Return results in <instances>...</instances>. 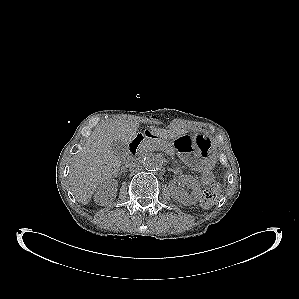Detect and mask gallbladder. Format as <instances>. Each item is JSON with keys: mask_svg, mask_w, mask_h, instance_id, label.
Masks as SVG:
<instances>
[{"mask_svg": "<svg viewBox=\"0 0 299 299\" xmlns=\"http://www.w3.org/2000/svg\"><path fill=\"white\" fill-rule=\"evenodd\" d=\"M112 151L119 158L127 156V154H128L127 145L124 144L121 141H114L113 142V144H112Z\"/></svg>", "mask_w": 299, "mask_h": 299, "instance_id": "gallbladder-1", "label": "gallbladder"}]
</instances>
